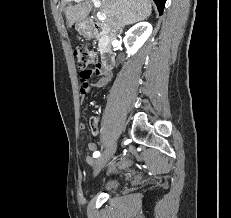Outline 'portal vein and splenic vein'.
Instances as JSON below:
<instances>
[{"label":"portal vein and splenic vein","instance_id":"portal-vein-and-splenic-vein-1","mask_svg":"<svg viewBox=\"0 0 231 218\" xmlns=\"http://www.w3.org/2000/svg\"><path fill=\"white\" fill-rule=\"evenodd\" d=\"M76 1H80V0H76ZM93 1V3H94V6L95 7H100L101 6V2L99 1V0H92ZM97 18L99 19V20H105V18H106V15L104 14V13H101V12H98L97 13Z\"/></svg>","mask_w":231,"mask_h":218}]
</instances>
